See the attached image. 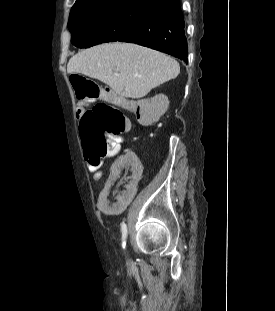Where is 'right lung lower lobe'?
Segmentation results:
<instances>
[{"instance_id": "obj_1", "label": "right lung lower lobe", "mask_w": 275, "mask_h": 311, "mask_svg": "<svg viewBox=\"0 0 275 311\" xmlns=\"http://www.w3.org/2000/svg\"><path fill=\"white\" fill-rule=\"evenodd\" d=\"M116 41L146 46L175 56L187 63V39L179 0L159 5L137 20Z\"/></svg>"}]
</instances>
